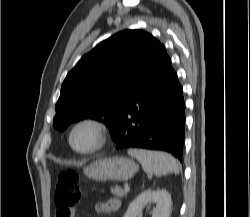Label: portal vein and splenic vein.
<instances>
[{
  "label": "portal vein and splenic vein",
  "instance_id": "portal-vein-and-splenic-vein-1",
  "mask_svg": "<svg viewBox=\"0 0 250 217\" xmlns=\"http://www.w3.org/2000/svg\"><path fill=\"white\" fill-rule=\"evenodd\" d=\"M124 188H125V191H129L130 190L128 184H125Z\"/></svg>",
  "mask_w": 250,
  "mask_h": 217
}]
</instances>
